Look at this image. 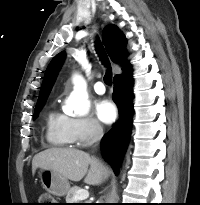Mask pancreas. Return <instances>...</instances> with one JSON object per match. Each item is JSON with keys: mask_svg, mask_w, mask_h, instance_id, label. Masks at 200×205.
I'll return each mask as SVG.
<instances>
[{"mask_svg": "<svg viewBox=\"0 0 200 205\" xmlns=\"http://www.w3.org/2000/svg\"><path fill=\"white\" fill-rule=\"evenodd\" d=\"M80 189L81 188L78 186H74L70 188L66 196V203H79V201H74V196L77 193V191Z\"/></svg>", "mask_w": 200, "mask_h": 205, "instance_id": "pancreas-1", "label": "pancreas"}]
</instances>
